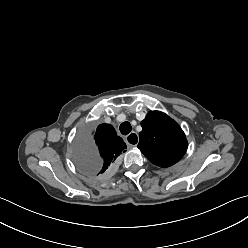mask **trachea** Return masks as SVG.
<instances>
[{"label": "trachea", "mask_w": 248, "mask_h": 248, "mask_svg": "<svg viewBox=\"0 0 248 248\" xmlns=\"http://www.w3.org/2000/svg\"><path fill=\"white\" fill-rule=\"evenodd\" d=\"M120 132L123 134V135H127L131 132V124L129 122H123L121 125H120Z\"/></svg>", "instance_id": "trachea-1"}]
</instances>
